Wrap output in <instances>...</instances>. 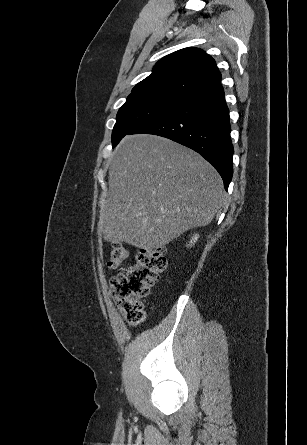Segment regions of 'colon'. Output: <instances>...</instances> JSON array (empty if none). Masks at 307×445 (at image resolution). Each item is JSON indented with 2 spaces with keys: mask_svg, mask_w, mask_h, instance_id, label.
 Segmentation results:
<instances>
[{
  "mask_svg": "<svg viewBox=\"0 0 307 445\" xmlns=\"http://www.w3.org/2000/svg\"><path fill=\"white\" fill-rule=\"evenodd\" d=\"M128 255L123 244H113L107 265L119 272L111 279L110 292L124 317L131 323H139L145 317L144 299L165 270L167 261L162 248L142 250L133 264L122 267Z\"/></svg>",
  "mask_w": 307,
  "mask_h": 445,
  "instance_id": "colon-1",
  "label": "colon"
}]
</instances>
